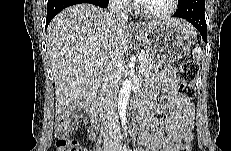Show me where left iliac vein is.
Here are the masks:
<instances>
[{"label":"left iliac vein","instance_id":"left-iliac-vein-1","mask_svg":"<svg viewBox=\"0 0 231 151\" xmlns=\"http://www.w3.org/2000/svg\"><path fill=\"white\" fill-rule=\"evenodd\" d=\"M119 151H124L123 149H120Z\"/></svg>","mask_w":231,"mask_h":151}]
</instances>
